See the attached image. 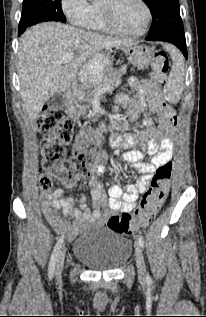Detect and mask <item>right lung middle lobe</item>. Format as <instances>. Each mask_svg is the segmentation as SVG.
Masks as SVG:
<instances>
[{"label":"right lung middle lobe","instance_id":"1","mask_svg":"<svg viewBox=\"0 0 206 317\" xmlns=\"http://www.w3.org/2000/svg\"><path fill=\"white\" fill-rule=\"evenodd\" d=\"M44 21H66L61 9V0H24L19 33H23L31 25Z\"/></svg>","mask_w":206,"mask_h":317}]
</instances>
